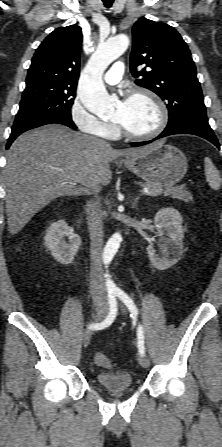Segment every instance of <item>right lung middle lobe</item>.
Instances as JSON below:
<instances>
[{"label": "right lung middle lobe", "instance_id": "right-lung-middle-lobe-1", "mask_svg": "<svg viewBox=\"0 0 222 447\" xmlns=\"http://www.w3.org/2000/svg\"><path fill=\"white\" fill-rule=\"evenodd\" d=\"M76 87L43 85L26 88L12 131L25 129L46 120L71 118Z\"/></svg>", "mask_w": 222, "mask_h": 447}]
</instances>
